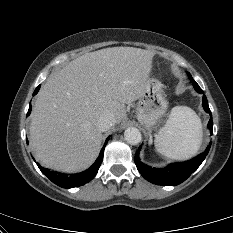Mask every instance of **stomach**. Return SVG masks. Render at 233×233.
Wrapping results in <instances>:
<instances>
[{"mask_svg":"<svg viewBox=\"0 0 233 233\" xmlns=\"http://www.w3.org/2000/svg\"><path fill=\"white\" fill-rule=\"evenodd\" d=\"M168 103L164 97L163 85L160 81L149 78L145 90L139 98L136 108V118L148 131L160 122L167 111Z\"/></svg>","mask_w":233,"mask_h":233,"instance_id":"0dacf381","label":"stomach"}]
</instances>
